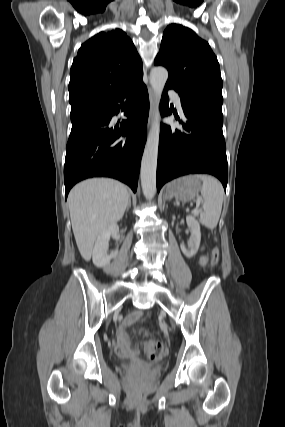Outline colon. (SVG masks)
<instances>
[{
    "label": "colon",
    "instance_id": "5ec220e1",
    "mask_svg": "<svg viewBox=\"0 0 285 427\" xmlns=\"http://www.w3.org/2000/svg\"><path fill=\"white\" fill-rule=\"evenodd\" d=\"M219 262V250L214 248L211 253V265L216 266ZM144 349L148 357L152 360H157L162 358L164 353L163 344L155 339H147L143 342ZM119 351H122V348H119Z\"/></svg>",
    "mask_w": 285,
    "mask_h": 427
}]
</instances>
